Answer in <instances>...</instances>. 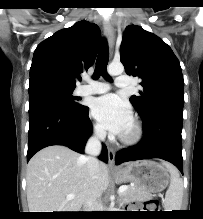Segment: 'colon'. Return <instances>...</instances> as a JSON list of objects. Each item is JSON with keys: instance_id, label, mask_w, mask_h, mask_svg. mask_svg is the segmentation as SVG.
<instances>
[{"instance_id": "5ec220e1", "label": "colon", "mask_w": 203, "mask_h": 219, "mask_svg": "<svg viewBox=\"0 0 203 219\" xmlns=\"http://www.w3.org/2000/svg\"><path fill=\"white\" fill-rule=\"evenodd\" d=\"M150 208L158 210L160 208V201L158 199H153L148 202Z\"/></svg>"}]
</instances>
